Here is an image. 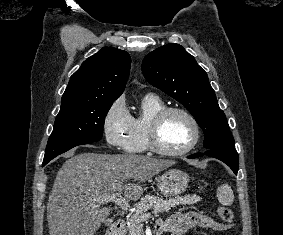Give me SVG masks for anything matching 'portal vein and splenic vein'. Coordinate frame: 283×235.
<instances>
[{
    "label": "portal vein and splenic vein",
    "mask_w": 283,
    "mask_h": 235,
    "mask_svg": "<svg viewBox=\"0 0 283 235\" xmlns=\"http://www.w3.org/2000/svg\"><path fill=\"white\" fill-rule=\"evenodd\" d=\"M100 204L102 203H108V202H115L122 210L127 211L130 208V204L128 203L127 200H125L119 192H116L115 194L101 198L97 200ZM151 216L150 213L144 214L141 216L140 221H144L148 219Z\"/></svg>",
    "instance_id": "1"
}]
</instances>
